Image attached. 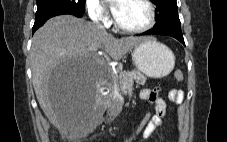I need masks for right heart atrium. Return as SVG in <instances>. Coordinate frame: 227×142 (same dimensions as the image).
Listing matches in <instances>:
<instances>
[{
	"label": "right heart atrium",
	"mask_w": 227,
	"mask_h": 142,
	"mask_svg": "<svg viewBox=\"0 0 227 142\" xmlns=\"http://www.w3.org/2000/svg\"><path fill=\"white\" fill-rule=\"evenodd\" d=\"M85 9L89 19L101 26H108L110 17L99 0H86Z\"/></svg>",
	"instance_id": "obj_1"
}]
</instances>
